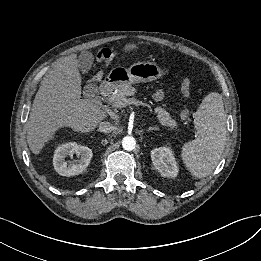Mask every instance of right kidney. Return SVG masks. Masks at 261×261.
<instances>
[{
    "label": "right kidney",
    "mask_w": 261,
    "mask_h": 261,
    "mask_svg": "<svg viewBox=\"0 0 261 261\" xmlns=\"http://www.w3.org/2000/svg\"><path fill=\"white\" fill-rule=\"evenodd\" d=\"M76 154L81 157L72 164H68L66 158ZM92 150L75 142H68L56 148L53 165L56 172L62 176H74L83 172L92 158Z\"/></svg>",
    "instance_id": "obj_1"
}]
</instances>
